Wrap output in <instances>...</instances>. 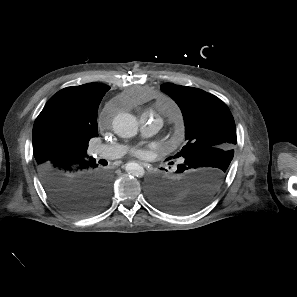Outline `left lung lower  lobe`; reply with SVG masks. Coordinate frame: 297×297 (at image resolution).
Masks as SVG:
<instances>
[{"label":"left lung lower lobe","mask_w":297,"mask_h":297,"mask_svg":"<svg viewBox=\"0 0 297 297\" xmlns=\"http://www.w3.org/2000/svg\"><path fill=\"white\" fill-rule=\"evenodd\" d=\"M177 167V175L174 177H157L150 181L149 196L152 202L164 211L176 214L193 213L212 199L223 178L217 172L189 171L181 165Z\"/></svg>","instance_id":"1"}]
</instances>
